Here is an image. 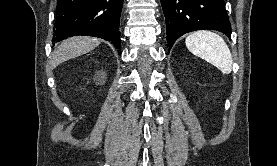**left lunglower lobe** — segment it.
Segmentation results:
<instances>
[{"label": "left lung lower lobe", "mask_w": 277, "mask_h": 166, "mask_svg": "<svg viewBox=\"0 0 277 166\" xmlns=\"http://www.w3.org/2000/svg\"><path fill=\"white\" fill-rule=\"evenodd\" d=\"M169 48L183 34L217 30L231 36V24L223 0H161Z\"/></svg>", "instance_id": "1"}]
</instances>
